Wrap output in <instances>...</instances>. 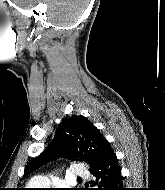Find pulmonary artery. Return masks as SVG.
I'll return each instance as SVG.
<instances>
[{"mask_svg": "<svg viewBox=\"0 0 165 190\" xmlns=\"http://www.w3.org/2000/svg\"><path fill=\"white\" fill-rule=\"evenodd\" d=\"M70 175L72 177L86 178L89 176V172L84 166L75 164L70 168ZM37 181L44 185L48 183V180L44 178H38Z\"/></svg>", "mask_w": 165, "mask_h": 190, "instance_id": "e3ab8cb5", "label": "pulmonary artery"}]
</instances>
